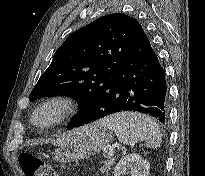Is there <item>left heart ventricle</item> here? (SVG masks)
<instances>
[{"mask_svg": "<svg viewBox=\"0 0 205 176\" xmlns=\"http://www.w3.org/2000/svg\"><path fill=\"white\" fill-rule=\"evenodd\" d=\"M49 118H50V114L47 113V112L41 113V114H39V115L37 116V120H38V122H40V123H45V122H47V121L49 120Z\"/></svg>", "mask_w": 205, "mask_h": 176, "instance_id": "1", "label": "left heart ventricle"}]
</instances>
